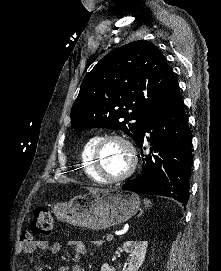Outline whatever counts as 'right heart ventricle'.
<instances>
[{"mask_svg":"<svg viewBox=\"0 0 221 271\" xmlns=\"http://www.w3.org/2000/svg\"><path fill=\"white\" fill-rule=\"evenodd\" d=\"M98 135L91 134L89 135L82 143L80 150V162H83L84 175L88 176L90 179L93 177L94 181L98 183H107V178H102V174H98V171H95V167H98V162L95 158H92V149H95V144H93L95 138Z\"/></svg>","mask_w":221,"mask_h":271,"instance_id":"right-heart-ventricle-1","label":"right heart ventricle"}]
</instances>
